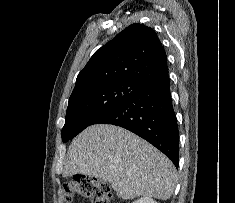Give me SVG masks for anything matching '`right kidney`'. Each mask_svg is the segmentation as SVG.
Here are the masks:
<instances>
[{"instance_id": "1", "label": "right kidney", "mask_w": 235, "mask_h": 203, "mask_svg": "<svg viewBox=\"0 0 235 203\" xmlns=\"http://www.w3.org/2000/svg\"><path fill=\"white\" fill-rule=\"evenodd\" d=\"M133 203H157L155 200H153L151 197H142Z\"/></svg>"}]
</instances>
